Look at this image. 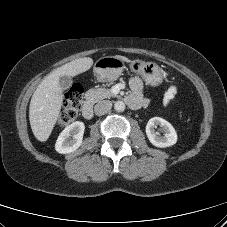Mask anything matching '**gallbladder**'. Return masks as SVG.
I'll return each mask as SVG.
<instances>
[{
  "label": "gallbladder",
  "instance_id": "1",
  "mask_svg": "<svg viewBox=\"0 0 227 227\" xmlns=\"http://www.w3.org/2000/svg\"><path fill=\"white\" fill-rule=\"evenodd\" d=\"M60 86L63 90L69 88L72 84V79L70 76H61L59 78Z\"/></svg>",
  "mask_w": 227,
  "mask_h": 227
}]
</instances>
